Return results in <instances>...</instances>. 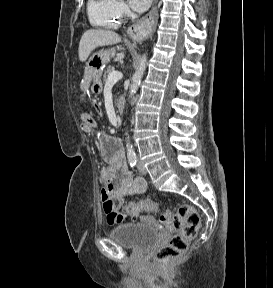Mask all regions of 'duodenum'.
<instances>
[{
  "label": "duodenum",
  "mask_w": 273,
  "mask_h": 288,
  "mask_svg": "<svg viewBox=\"0 0 273 288\" xmlns=\"http://www.w3.org/2000/svg\"><path fill=\"white\" fill-rule=\"evenodd\" d=\"M115 109H116V112L119 114V115H123L125 109H126V103H125V100L123 99H120L116 105H115Z\"/></svg>",
  "instance_id": "1"
}]
</instances>
